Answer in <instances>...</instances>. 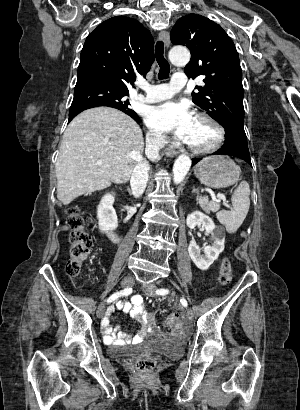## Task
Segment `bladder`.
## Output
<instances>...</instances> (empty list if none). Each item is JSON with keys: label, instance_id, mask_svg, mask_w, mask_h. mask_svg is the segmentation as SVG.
I'll return each instance as SVG.
<instances>
[{"label": "bladder", "instance_id": "1", "mask_svg": "<svg viewBox=\"0 0 300 410\" xmlns=\"http://www.w3.org/2000/svg\"><path fill=\"white\" fill-rule=\"evenodd\" d=\"M183 347H184L183 343L168 342V341H164V342L151 346L153 351H160L170 356L182 355ZM123 351H126L125 347L110 346L108 350V354L111 356H115L118 353L123 352Z\"/></svg>", "mask_w": 300, "mask_h": 410}]
</instances>
